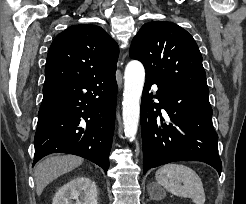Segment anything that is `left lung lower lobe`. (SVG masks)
<instances>
[{
	"instance_id": "left-lung-lower-lobe-1",
	"label": "left lung lower lobe",
	"mask_w": 246,
	"mask_h": 204,
	"mask_svg": "<svg viewBox=\"0 0 246 204\" xmlns=\"http://www.w3.org/2000/svg\"><path fill=\"white\" fill-rule=\"evenodd\" d=\"M152 84L158 86L156 95L150 92ZM208 94V87L146 77L141 100L143 174L174 161L205 162L221 174Z\"/></svg>"
}]
</instances>
